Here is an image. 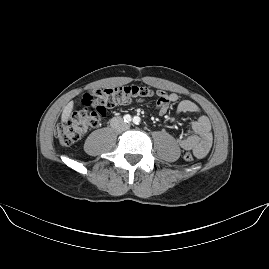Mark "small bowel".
Returning <instances> with one entry per match:
<instances>
[{
	"mask_svg": "<svg viewBox=\"0 0 269 269\" xmlns=\"http://www.w3.org/2000/svg\"><path fill=\"white\" fill-rule=\"evenodd\" d=\"M158 102L157 111L159 114H165L172 104H176V115L183 113H199L200 108L190 100L179 101L176 93H167L165 91H157ZM193 134L188 136H180L178 143L180 147L187 151H192L195 157H205L213 144V133L210 120L200 115L191 123Z\"/></svg>",
	"mask_w": 269,
	"mask_h": 269,
	"instance_id": "c3829d8e",
	"label": "small bowel"
}]
</instances>
